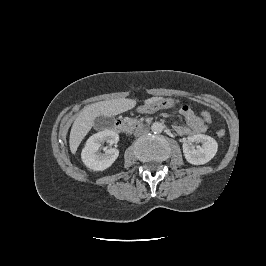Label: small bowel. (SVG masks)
<instances>
[{
    "mask_svg": "<svg viewBox=\"0 0 266 266\" xmlns=\"http://www.w3.org/2000/svg\"><path fill=\"white\" fill-rule=\"evenodd\" d=\"M180 114L184 118L186 125H176L175 131L182 136L195 135L206 131L207 126L204 121L195 114L192 108L188 105H184L179 110Z\"/></svg>",
    "mask_w": 266,
    "mask_h": 266,
    "instance_id": "obj_1",
    "label": "small bowel"
}]
</instances>
